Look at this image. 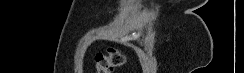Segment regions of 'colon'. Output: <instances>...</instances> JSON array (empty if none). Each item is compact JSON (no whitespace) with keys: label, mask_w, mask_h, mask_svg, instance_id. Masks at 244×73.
I'll list each match as a JSON object with an SVG mask.
<instances>
[{"label":"colon","mask_w":244,"mask_h":73,"mask_svg":"<svg viewBox=\"0 0 244 73\" xmlns=\"http://www.w3.org/2000/svg\"><path fill=\"white\" fill-rule=\"evenodd\" d=\"M95 60L98 73H112L125 63L123 53L114 47H109L105 53H98Z\"/></svg>","instance_id":"1"}]
</instances>
